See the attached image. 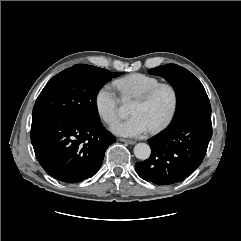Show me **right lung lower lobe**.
Segmentation results:
<instances>
[{
  "label": "right lung lower lobe",
  "instance_id": "98d812e1",
  "mask_svg": "<svg viewBox=\"0 0 241 241\" xmlns=\"http://www.w3.org/2000/svg\"><path fill=\"white\" fill-rule=\"evenodd\" d=\"M116 138L102 123L65 117L32 121L31 142L36 158L53 178L77 183L99 170L106 149Z\"/></svg>",
  "mask_w": 241,
  "mask_h": 241
}]
</instances>
